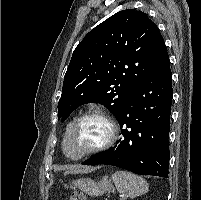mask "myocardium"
<instances>
[{
	"mask_svg": "<svg viewBox=\"0 0 201 200\" xmlns=\"http://www.w3.org/2000/svg\"><path fill=\"white\" fill-rule=\"evenodd\" d=\"M91 118H97L99 120H101L107 127V135L105 140L100 143L99 145L77 155V156H72L69 153V148H68V140L70 137V134L72 133V131L74 130V128L82 121L87 120V119H91ZM117 136H118V127L116 122L114 121V119L105 111L102 110H90L87 111L83 114H81L80 116H78L67 128L64 138H63V143H62V147H63V152L66 155V157L70 160L73 161H77L80 160L82 158H85L87 156L90 155H94L100 152H103L107 149H109L110 147H112L114 145V143L117 140Z\"/></svg>",
	"mask_w": 201,
	"mask_h": 200,
	"instance_id": "f54148a6",
	"label": "myocardium"
}]
</instances>
